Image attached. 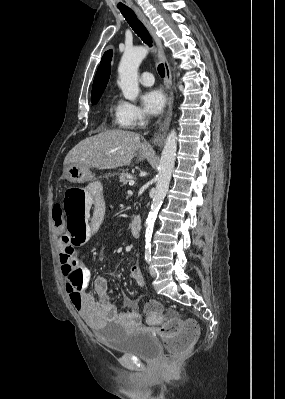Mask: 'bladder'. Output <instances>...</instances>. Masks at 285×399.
<instances>
[{
    "label": "bladder",
    "instance_id": "obj_1",
    "mask_svg": "<svg viewBox=\"0 0 285 399\" xmlns=\"http://www.w3.org/2000/svg\"><path fill=\"white\" fill-rule=\"evenodd\" d=\"M92 328L104 336V343L115 352L147 360H155L159 357L160 346L155 337L145 328L130 329L121 337L102 332L97 326Z\"/></svg>",
    "mask_w": 285,
    "mask_h": 399
}]
</instances>
